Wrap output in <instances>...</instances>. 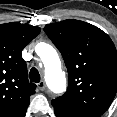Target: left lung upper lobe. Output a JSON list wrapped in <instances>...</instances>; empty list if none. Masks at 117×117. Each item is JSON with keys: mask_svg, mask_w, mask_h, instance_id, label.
Wrapping results in <instances>:
<instances>
[{"mask_svg": "<svg viewBox=\"0 0 117 117\" xmlns=\"http://www.w3.org/2000/svg\"><path fill=\"white\" fill-rule=\"evenodd\" d=\"M68 69L64 95L51 101L54 110L72 117H100L117 92V51L101 29L79 20L45 25Z\"/></svg>", "mask_w": 117, "mask_h": 117, "instance_id": "obj_1", "label": "left lung upper lobe"}]
</instances>
